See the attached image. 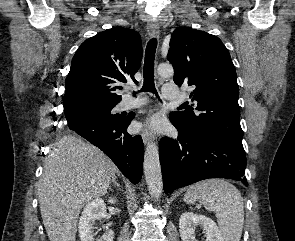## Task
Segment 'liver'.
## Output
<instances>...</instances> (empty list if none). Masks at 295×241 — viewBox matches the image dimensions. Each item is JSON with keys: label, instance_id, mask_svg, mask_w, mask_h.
Returning a JSON list of instances; mask_svg holds the SVG:
<instances>
[{"label": "liver", "instance_id": "6515ba94", "mask_svg": "<svg viewBox=\"0 0 295 241\" xmlns=\"http://www.w3.org/2000/svg\"><path fill=\"white\" fill-rule=\"evenodd\" d=\"M115 164L81 138H61L44 164L38 198L50 241H75L82 207L107 193Z\"/></svg>", "mask_w": 295, "mask_h": 241}]
</instances>
